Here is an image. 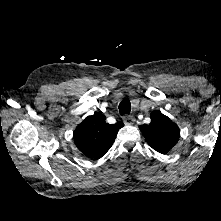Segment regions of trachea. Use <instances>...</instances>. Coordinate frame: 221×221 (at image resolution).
<instances>
[{"instance_id": "1", "label": "trachea", "mask_w": 221, "mask_h": 221, "mask_svg": "<svg viewBox=\"0 0 221 221\" xmlns=\"http://www.w3.org/2000/svg\"><path fill=\"white\" fill-rule=\"evenodd\" d=\"M131 111V103L129 99H124L119 104V112L121 115L129 114Z\"/></svg>"}]
</instances>
